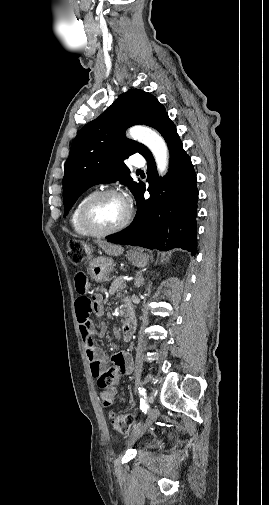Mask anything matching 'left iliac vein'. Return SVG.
I'll return each mask as SVG.
<instances>
[{"mask_svg": "<svg viewBox=\"0 0 269 505\" xmlns=\"http://www.w3.org/2000/svg\"><path fill=\"white\" fill-rule=\"evenodd\" d=\"M158 412H159V409H156V408H152L149 410L147 419L137 427V429L135 430V432L133 433V435L131 436V438L128 441L129 444L134 443L147 431V429L157 419Z\"/></svg>", "mask_w": 269, "mask_h": 505, "instance_id": "obj_1", "label": "left iliac vein"}]
</instances>
